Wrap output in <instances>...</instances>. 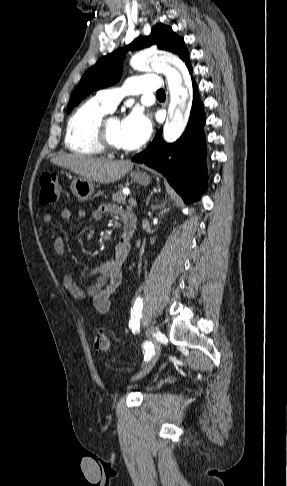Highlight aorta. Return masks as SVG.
Wrapping results in <instances>:
<instances>
[{
    "label": "aorta",
    "mask_w": 287,
    "mask_h": 486,
    "mask_svg": "<svg viewBox=\"0 0 287 486\" xmlns=\"http://www.w3.org/2000/svg\"><path fill=\"white\" fill-rule=\"evenodd\" d=\"M130 64L134 69L149 66L165 74L170 90V104L163 136L167 142L176 141L186 127L191 106V80L185 65L180 59L167 55L136 56Z\"/></svg>",
    "instance_id": "obj_1"
}]
</instances>
